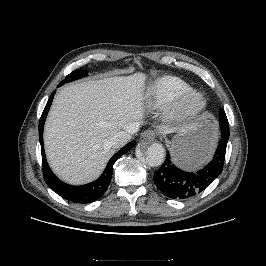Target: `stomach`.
<instances>
[{
    "instance_id": "obj_1",
    "label": "stomach",
    "mask_w": 266,
    "mask_h": 266,
    "mask_svg": "<svg viewBox=\"0 0 266 266\" xmlns=\"http://www.w3.org/2000/svg\"><path fill=\"white\" fill-rule=\"evenodd\" d=\"M216 141L215 124L208 114H203L193 126L173 137L170 144L173 160L182 167L194 169L210 158Z\"/></svg>"
}]
</instances>
